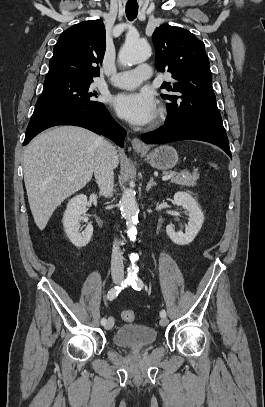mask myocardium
Listing matches in <instances>:
<instances>
[{
	"label": "myocardium",
	"mask_w": 265,
	"mask_h": 407,
	"mask_svg": "<svg viewBox=\"0 0 265 407\" xmlns=\"http://www.w3.org/2000/svg\"><path fill=\"white\" fill-rule=\"evenodd\" d=\"M163 117H164V110L162 108H160L158 110L157 114H156V117H155L153 123H152V127L158 125L162 121Z\"/></svg>",
	"instance_id": "myocardium-1"
}]
</instances>
